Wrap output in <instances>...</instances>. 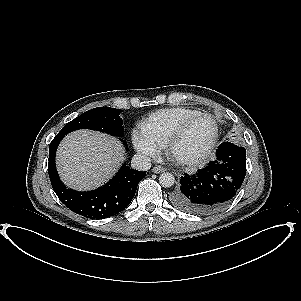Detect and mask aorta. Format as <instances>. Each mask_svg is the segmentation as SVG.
Masks as SVG:
<instances>
[{"instance_id": "obj_1", "label": "aorta", "mask_w": 301, "mask_h": 301, "mask_svg": "<svg viewBox=\"0 0 301 301\" xmlns=\"http://www.w3.org/2000/svg\"><path fill=\"white\" fill-rule=\"evenodd\" d=\"M175 182L174 176L169 172H163L159 177V183L164 188H170Z\"/></svg>"}]
</instances>
